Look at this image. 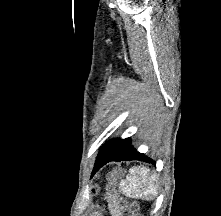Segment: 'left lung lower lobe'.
Masks as SVG:
<instances>
[{"label":"left lung lower lobe","instance_id":"obj_1","mask_svg":"<svg viewBox=\"0 0 221 216\" xmlns=\"http://www.w3.org/2000/svg\"><path fill=\"white\" fill-rule=\"evenodd\" d=\"M130 160H140L146 162H153L152 159L148 158L142 153H139L134 149L129 143L122 151L114 154L111 152H102L100 151L95 166L92 171V176L106 163L110 161H130Z\"/></svg>","mask_w":221,"mask_h":216}]
</instances>
